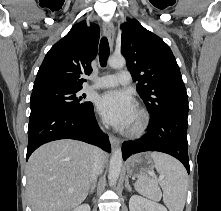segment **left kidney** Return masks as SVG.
<instances>
[{"instance_id": "5707ae66", "label": "left kidney", "mask_w": 221, "mask_h": 211, "mask_svg": "<svg viewBox=\"0 0 221 211\" xmlns=\"http://www.w3.org/2000/svg\"><path fill=\"white\" fill-rule=\"evenodd\" d=\"M129 209L130 211H167L163 205L137 195L131 196Z\"/></svg>"}]
</instances>
